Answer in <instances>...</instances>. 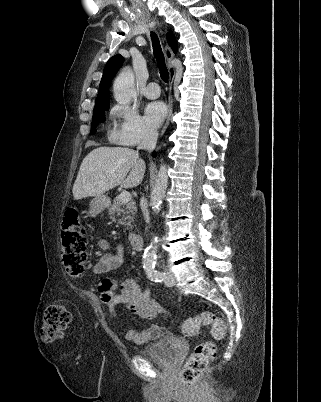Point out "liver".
<instances>
[{"label":"liver","instance_id":"6515ba94","mask_svg":"<svg viewBox=\"0 0 321 402\" xmlns=\"http://www.w3.org/2000/svg\"><path fill=\"white\" fill-rule=\"evenodd\" d=\"M145 168L144 160L134 149L95 148L81 163L73 185L74 199L100 196L118 185L124 188L138 186L143 180Z\"/></svg>","mask_w":321,"mask_h":402}]
</instances>
